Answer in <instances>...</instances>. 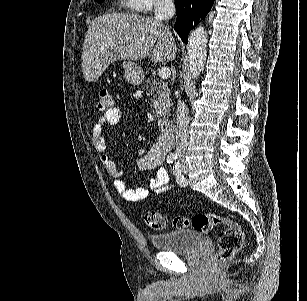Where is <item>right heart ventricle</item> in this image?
<instances>
[{
    "label": "right heart ventricle",
    "mask_w": 307,
    "mask_h": 301,
    "mask_svg": "<svg viewBox=\"0 0 307 301\" xmlns=\"http://www.w3.org/2000/svg\"><path fill=\"white\" fill-rule=\"evenodd\" d=\"M138 0H124V4H129L130 8H138Z\"/></svg>",
    "instance_id": "1"
}]
</instances>
